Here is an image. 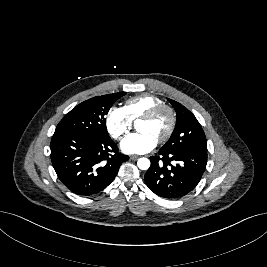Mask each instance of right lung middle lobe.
<instances>
[{
  "label": "right lung middle lobe",
  "instance_id": "obj_1",
  "mask_svg": "<svg viewBox=\"0 0 267 267\" xmlns=\"http://www.w3.org/2000/svg\"><path fill=\"white\" fill-rule=\"evenodd\" d=\"M126 92L88 99L74 107L57 125L54 134L78 136H109L106 119L109 109Z\"/></svg>",
  "mask_w": 267,
  "mask_h": 267
}]
</instances>
